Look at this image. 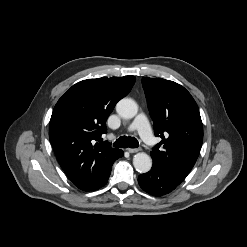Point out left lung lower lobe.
Instances as JSON below:
<instances>
[{"label": "left lung lower lobe", "instance_id": "left-lung-lower-lobe-1", "mask_svg": "<svg viewBox=\"0 0 247 247\" xmlns=\"http://www.w3.org/2000/svg\"><path fill=\"white\" fill-rule=\"evenodd\" d=\"M184 179L171 171L153 164L151 170L138 177L140 187L154 196H162L176 188Z\"/></svg>", "mask_w": 247, "mask_h": 247}]
</instances>
